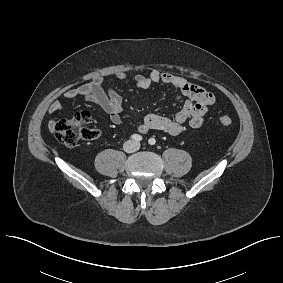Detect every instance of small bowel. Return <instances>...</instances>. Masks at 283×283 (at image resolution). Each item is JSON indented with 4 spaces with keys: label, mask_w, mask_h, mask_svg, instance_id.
Wrapping results in <instances>:
<instances>
[{
    "label": "small bowel",
    "mask_w": 283,
    "mask_h": 283,
    "mask_svg": "<svg viewBox=\"0 0 283 283\" xmlns=\"http://www.w3.org/2000/svg\"><path fill=\"white\" fill-rule=\"evenodd\" d=\"M115 76L119 80L127 78V74L124 72H118ZM134 81L136 86L140 88H149L157 83L171 86L179 92L182 100V108L173 118L161 116L156 112L148 113L137 127L141 134H146L151 130H160L176 136L187 128L197 129L202 126L209 108L215 102L213 93L208 89L172 73L151 70L146 75H135ZM77 97H83L98 105L108 113L113 124L121 122L123 99L114 88L105 87L101 78H96L63 94V98L67 101ZM61 110L62 104L57 100L48 106L50 114H56ZM49 125L53 128L55 120H51Z\"/></svg>",
    "instance_id": "obj_1"
}]
</instances>
